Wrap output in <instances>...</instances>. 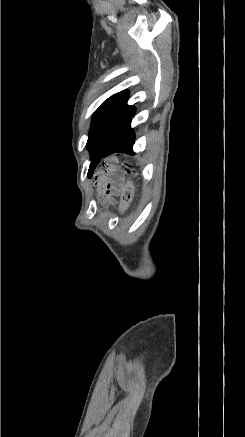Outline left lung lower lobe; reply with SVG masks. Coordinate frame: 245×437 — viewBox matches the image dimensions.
Listing matches in <instances>:
<instances>
[{
	"label": "left lung lower lobe",
	"mask_w": 245,
	"mask_h": 437,
	"mask_svg": "<svg viewBox=\"0 0 245 437\" xmlns=\"http://www.w3.org/2000/svg\"><path fill=\"white\" fill-rule=\"evenodd\" d=\"M134 113L135 109L130 107L125 116L116 124L99 154L97 155L95 161L91 165L92 169H95L102 158L110 154L117 152L128 154L133 153L132 147L135 142V133L130 127V124Z\"/></svg>",
	"instance_id": "obj_1"
}]
</instances>
